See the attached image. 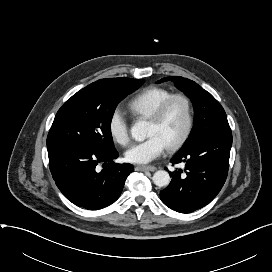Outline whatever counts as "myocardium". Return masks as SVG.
Instances as JSON below:
<instances>
[{
	"label": "myocardium",
	"instance_id": "1",
	"mask_svg": "<svg viewBox=\"0 0 272 272\" xmlns=\"http://www.w3.org/2000/svg\"><path fill=\"white\" fill-rule=\"evenodd\" d=\"M176 100H180L181 102H183L185 106L186 123L181 135L167 147L169 151H174L180 148L187 141L192 132L194 126V110L191 100L186 95L181 93L172 94L165 100H163L152 112V114L148 117V120L150 121L153 122L160 121L165 115L170 105Z\"/></svg>",
	"mask_w": 272,
	"mask_h": 272
}]
</instances>
